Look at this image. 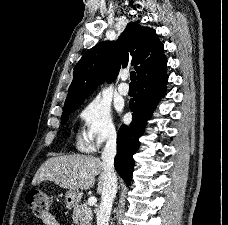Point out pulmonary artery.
I'll list each match as a JSON object with an SVG mask.
<instances>
[{
    "mask_svg": "<svg viewBox=\"0 0 228 225\" xmlns=\"http://www.w3.org/2000/svg\"><path fill=\"white\" fill-rule=\"evenodd\" d=\"M124 81L119 84L118 86V92L120 95L122 96H127L129 93V86L128 84L125 82L126 78L123 79Z\"/></svg>",
    "mask_w": 228,
    "mask_h": 225,
    "instance_id": "1",
    "label": "pulmonary artery"
}]
</instances>
